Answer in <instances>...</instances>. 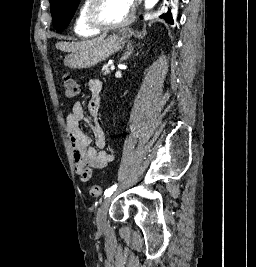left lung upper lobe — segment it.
Masks as SVG:
<instances>
[{"label":"left lung upper lobe","instance_id":"5c2ea615","mask_svg":"<svg viewBox=\"0 0 256 267\" xmlns=\"http://www.w3.org/2000/svg\"><path fill=\"white\" fill-rule=\"evenodd\" d=\"M53 26L57 31L67 27L72 19L80 0H49ZM170 24L173 23L172 14L168 11L160 16Z\"/></svg>","mask_w":256,"mask_h":267}]
</instances>
